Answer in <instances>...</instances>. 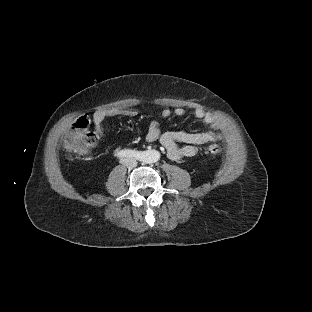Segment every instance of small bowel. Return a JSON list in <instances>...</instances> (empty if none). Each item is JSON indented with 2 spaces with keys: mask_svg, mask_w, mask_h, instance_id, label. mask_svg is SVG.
I'll return each mask as SVG.
<instances>
[{
  "mask_svg": "<svg viewBox=\"0 0 312 312\" xmlns=\"http://www.w3.org/2000/svg\"><path fill=\"white\" fill-rule=\"evenodd\" d=\"M175 114L178 117L184 116L186 110L182 106H177L173 110L165 107L161 111L163 118H168ZM121 115L126 117H136L138 111L135 109H111L97 112L93 117L94 130L98 136L104 132V120L108 117ZM195 118L201 120L209 129L203 132H187L182 130L161 131L160 123L153 120L149 123L145 140L148 143L159 142L166 155L171 160H180L185 157H192L196 153V146L209 144L219 139V121L215 115L198 107L193 110ZM183 144V146H179Z\"/></svg>",
  "mask_w": 312,
  "mask_h": 312,
  "instance_id": "c3829d8e",
  "label": "small bowel"
}]
</instances>
